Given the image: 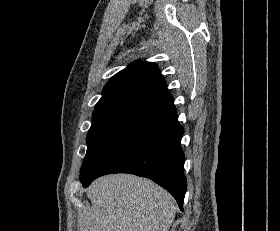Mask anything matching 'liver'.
I'll return each mask as SVG.
<instances>
[{
	"label": "liver",
	"instance_id": "1",
	"mask_svg": "<svg viewBox=\"0 0 280 231\" xmlns=\"http://www.w3.org/2000/svg\"><path fill=\"white\" fill-rule=\"evenodd\" d=\"M89 211H79L80 231H168L175 215L172 195L145 177L115 173L86 189Z\"/></svg>",
	"mask_w": 280,
	"mask_h": 231
}]
</instances>
